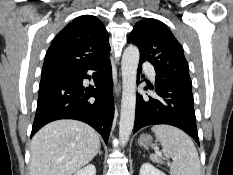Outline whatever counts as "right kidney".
<instances>
[{
    "label": "right kidney",
    "mask_w": 233,
    "mask_h": 175,
    "mask_svg": "<svg viewBox=\"0 0 233 175\" xmlns=\"http://www.w3.org/2000/svg\"><path fill=\"white\" fill-rule=\"evenodd\" d=\"M74 175H96V168L94 165L90 164L76 172Z\"/></svg>",
    "instance_id": "obj_1"
}]
</instances>
